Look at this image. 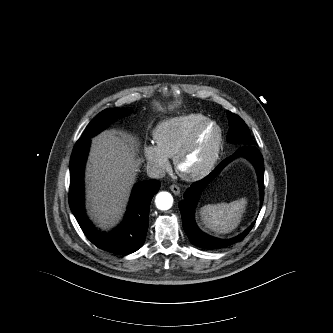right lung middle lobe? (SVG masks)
Here are the masks:
<instances>
[{"mask_svg": "<svg viewBox=\"0 0 333 333\" xmlns=\"http://www.w3.org/2000/svg\"><path fill=\"white\" fill-rule=\"evenodd\" d=\"M129 110L110 108L99 113L87 126L82 138H91L105 129L111 122L122 116L128 115Z\"/></svg>", "mask_w": 333, "mask_h": 333, "instance_id": "1", "label": "right lung middle lobe"}]
</instances>
